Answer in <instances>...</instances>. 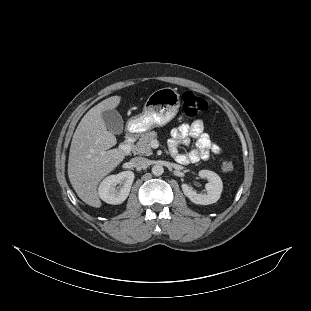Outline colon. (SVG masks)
Here are the masks:
<instances>
[{
  "label": "colon",
  "mask_w": 311,
  "mask_h": 311,
  "mask_svg": "<svg viewBox=\"0 0 311 311\" xmlns=\"http://www.w3.org/2000/svg\"><path fill=\"white\" fill-rule=\"evenodd\" d=\"M207 108L206 101L194 94L187 91L182 95V110L186 116L193 117L205 111ZM221 168L224 172H230L234 169V162L231 159L223 160Z\"/></svg>",
  "instance_id": "1"
}]
</instances>
